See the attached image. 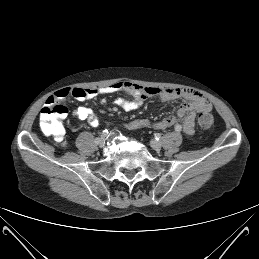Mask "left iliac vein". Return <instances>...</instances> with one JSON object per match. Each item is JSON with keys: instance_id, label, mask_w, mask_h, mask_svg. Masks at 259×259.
Segmentation results:
<instances>
[{"instance_id": "obj_1", "label": "left iliac vein", "mask_w": 259, "mask_h": 259, "mask_svg": "<svg viewBox=\"0 0 259 259\" xmlns=\"http://www.w3.org/2000/svg\"><path fill=\"white\" fill-rule=\"evenodd\" d=\"M150 145H151V147H152L153 149H155V150H160L161 147H162V143H161L160 141H156V140H152V141L150 142Z\"/></svg>"}]
</instances>
